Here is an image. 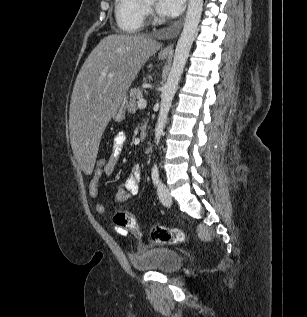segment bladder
<instances>
[{
  "mask_svg": "<svg viewBox=\"0 0 307 317\" xmlns=\"http://www.w3.org/2000/svg\"><path fill=\"white\" fill-rule=\"evenodd\" d=\"M129 261L136 271L173 273L183 264L182 255L170 248H152L140 255H130Z\"/></svg>",
  "mask_w": 307,
  "mask_h": 317,
  "instance_id": "obj_1",
  "label": "bladder"
}]
</instances>
